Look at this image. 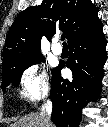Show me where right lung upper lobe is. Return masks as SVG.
<instances>
[{
  "label": "right lung upper lobe",
  "instance_id": "right-lung-upper-lobe-1",
  "mask_svg": "<svg viewBox=\"0 0 108 127\" xmlns=\"http://www.w3.org/2000/svg\"><path fill=\"white\" fill-rule=\"evenodd\" d=\"M91 0H43L16 17L6 39L3 63L10 64L40 53V40L51 39L57 30L66 33L68 41L98 18Z\"/></svg>",
  "mask_w": 108,
  "mask_h": 127
}]
</instances>
